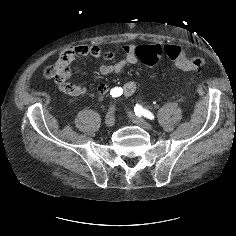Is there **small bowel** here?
I'll use <instances>...</instances> for the list:
<instances>
[{"instance_id": "obj_1", "label": "small bowel", "mask_w": 236, "mask_h": 236, "mask_svg": "<svg viewBox=\"0 0 236 236\" xmlns=\"http://www.w3.org/2000/svg\"><path fill=\"white\" fill-rule=\"evenodd\" d=\"M150 47L161 48L162 45L150 43L145 44ZM139 46L133 44H127L123 46L124 56L123 58L116 60L118 54L114 51H103L99 45L90 44V45H76L71 48L65 49L62 51V54L67 56L70 60V63L78 57H92L98 60L103 61L104 63L99 67V72L103 76H109L112 74H118L124 70L128 65H135L138 62L136 56V50ZM116 60V61H114ZM110 61H114L109 63ZM71 77V65L70 71L67 75V78L61 82H58V89L69 96L72 97H81L85 95L88 91L85 85H76L69 81ZM136 83L134 81L126 82L122 89L125 97L131 96L136 91ZM110 87L106 83H101L98 86V92L102 95L108 93Z\"/></svg>"}]
</instances>
